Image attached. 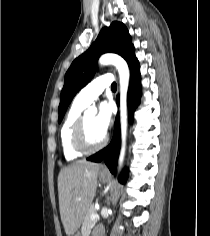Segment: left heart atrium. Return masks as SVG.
I'll return each mask as SVG.
<instances>
[{"instance_id":"1","label":"left heart atrium","mask_w":210,"mask_h":236,"mask_svg":"<svg viewBox=\"0 0 210 236\" xmlns=\"http://www.w3.org/2000/svg\"><path fill=\"white\" fill-rule=\"evenodd\" d=\"M111 119V105L108 102H102L99 106L98 113L94 118L96 128L105 134L111 124Z\"/></svg>"}]
</instances>
